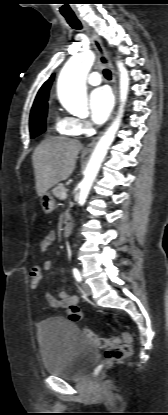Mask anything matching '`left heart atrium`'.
Wrapping results in <instances>:
<instances>
[{
  "label": "left heart atrium",
  "instance_id": "left-heart-atrium-1",
  "mask_svg": "<svg viewBox=\"0 0 168 415\" xmlns=\"http://www.w3.org/2000/svg\"><path fill=\"white\" fill-rule=\"evenodd\" d=\"M113 97L105 87L95 89L89 98L91 119L96 124L104 123L112 110Z\"/></svg>",
  "mask_w": 168,
  "mask_h": 415
}]
</instances>
